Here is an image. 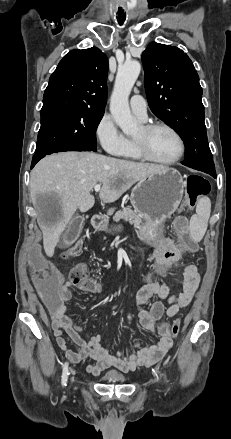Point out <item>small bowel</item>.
<instances>
[{
    "label": "small bowel",
    "mask_w": 231,
    "mask_h": 439,
    "mask_svg": "<svg viewBox=\"0 0 231 439\" xmlns=\"http://www.w3.org/2000/svg\"><path fill=\"white\" fill-rule=\"evenodd\" d=\"M182 252L181 247L171 239L160 240L154 252L155 266L160 264H171L169 262L174 255ZM166 274V273H165ZM34 277V276H33ZM183 286L180 292L172 293L170 283H140L134 291L137 304V316L143 329L155 335V321L165 312L168 317H174L181 309L185 308L192 301L200 282V276L194 265H187L183 269ZM155 279L154 277H152ZM76 286L72 281L60 283L57 293L60 296L58 312L51 315L52 329L59 347L65 351L68 358L74 363H79L90 358L94 363L87 366V371L98 375L109 367L117 368L123 372L133 371L138 367H147L159 362L171 349L173 342L169 338H160L156 343L145 345L138 340L129 348L112 351V346L104 342L103 335L98 333L85 339L81 333L83 328L75 318L66 315V302L72 298L71 289ZM99 294L94 292L91 301H94ZM150 298L166 300L168 307L164 308L161 302L153 303L149 309L143 306ZM132 314L127 312L126 324L132 321ZM67 338L75 345L72 350L68 347Z\"/></svg>",
    "instance_id": "obj_1"
}]
</instances>
